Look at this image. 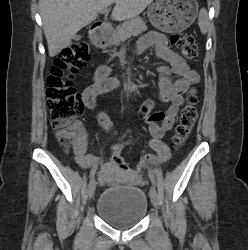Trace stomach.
Instances as JSON below:
<instances>
[{
    "mask_svg": "<svg viewBox=\"0 0 248 250\" xmlns=\"http://www.w3.org/2000/svg\"><path fill=\"white\" fill-rule=\"evenodd\" d=\"M198 15L196 0H154L148 7L151 24L165 33L188 28Z\"/></svg>",
    "mask_w": 248,
    "mask_h": 250,
    "instance_id": "obj_1",
    "label": "stomach"
}]
</instances>
